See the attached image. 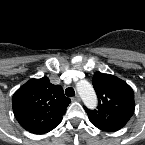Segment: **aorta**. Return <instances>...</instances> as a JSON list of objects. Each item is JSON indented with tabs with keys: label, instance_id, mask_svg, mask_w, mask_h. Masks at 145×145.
<instances>
[{
	"label": "aorta",
	"instance_id": "obj_1",
	"mask_svg": "<svg viewBox=\"0 0 145 145\" xmlns=\"http://www.w3.org/2000/svg\"><path fill=\"white\" fill-rule=\"evenodd\" d=\"M76 89L88 108H95L97 106V96L93 86L86 80H81L77 83Z\"/></svg>",
	"mask_w": 145,
	"mask_h": 145
}]
</instances>
